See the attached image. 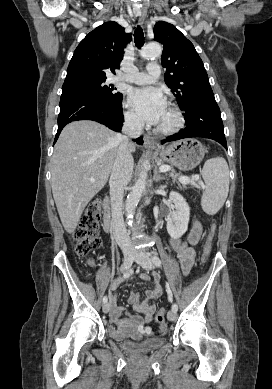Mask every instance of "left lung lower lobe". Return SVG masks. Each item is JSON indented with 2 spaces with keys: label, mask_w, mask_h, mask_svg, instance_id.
Returning <instances> with one entry per match:
<instances>
[{
  "label": "left lung lower lobe",
  "mask_w": 272,
  "mask_h": 389,
  "mask_svg": "<svg viewBox=\"0 0 272 389\" xmlns=\"http://www.w3.org/2000/svg\"><path fill=\"white\" fill-rule=\"evenodd\" d=\"M186 128L168 136L165 141L172 142L184 138L203 137L219 142L227 149L220 109L214 95L207 96L194 103L185 111Z\"/></svg>",
  "instance_id": "left-lung-lower-lobe-1"
}]
</instances>
